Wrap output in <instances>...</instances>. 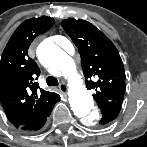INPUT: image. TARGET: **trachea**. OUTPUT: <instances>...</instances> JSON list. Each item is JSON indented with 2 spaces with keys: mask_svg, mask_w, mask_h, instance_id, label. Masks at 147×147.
<instances>
[{
  "mask_svg": "<svg viewBox=\"0 0 147 147\" xmlns=\"http://www.w3.org/2000/svg\"><path fill=\"white\" fill-rule=\"evenodd\" d=\"M46 83L48 86H58V80L53 76H48L46 78Z\"/></svg>",
  "mask_w": 147,
  "mask_h": 147,
  "instance_id": "trachea-1",
  "label": "trachea"
}]
</instances>
